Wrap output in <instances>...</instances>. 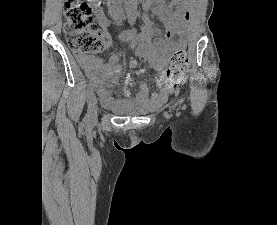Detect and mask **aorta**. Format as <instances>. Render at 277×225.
Wrapping results in <instances>:
<instances>
[{
  "label": "aorta",
  "instance_id": "1",
  "mask_svg": "<svg viewBox=\"0 0 277 225\" xmlns=\"http://www.w3.org/2000/svg\"><path fill=\"white\" fill-rule=\"evenodd\" d=\"M125 11L130 21H134L137 18V0H124Z\"/></svg>",
  "mask_w": 277,
  "mask_h": 225
}]
</instances>
